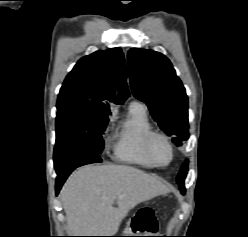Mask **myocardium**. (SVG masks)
I'll list each match as a JSON object with an SVG mask.
<instances>
[{"label": "myocardium", "instance_id": "f54148a6", "mask_svg": "<svg viewBox=\"0 0 248 237\" xmlns=\"http://www.w3.org/2000/svg\"><path fill=\"white\" fill-rule=\"evenodd\" d=\"M155 138L162 139L168 145V147L170 149V159L165 164H161V163L157 162L152 155V142ZM144 151H145L146 156L150 160V162L155 167H158V168H164V167L169 166L172 163V161L174 159V154H175L174 146H173L171 140L169 139V137L166 134H164L162 132H157V131H151L144 138Z\"/></svg>", "mask_w": 248, "mask_h": 237}]
</instances>
